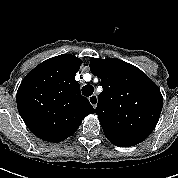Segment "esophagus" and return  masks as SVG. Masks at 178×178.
<instances>
[{
    "mask_svg": "<svg viewBox=\"0 0 178 178\" xmlns=\"http://www.w3.org/2000/svg\"><path fill=\"white\" fill-rule=\"evenodd\" d=\"M89 102H90V104H91L94 108H96L97 103H98V98H97V96H96V95H91V96L89 97Z\"/></svg>",
    "mask_w": 178,
    "mask_h": 178,
    "instance_id": "obj_1",
    "label": "esophagus"
}]
</instances>
